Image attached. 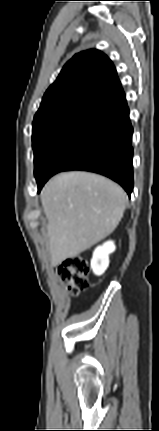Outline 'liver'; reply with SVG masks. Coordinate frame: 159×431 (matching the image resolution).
Returning <instances> with one entry per match:
<instances>
[{
	"mask_svg": "<svg viewBox=\"0 0 159 431\" xmlns=\"http://www.w3.org/2000/svg\"><path fill=\"white\" fill-rule=\"evenodd\" d=\"M127 196L113 181L88 172L61 173L41 192L47 219L50 262L58 266L111 234L121 221Z\"/></svg>",
	"mask_w": 159,
	"mask_h": 431,
	"instance_id": "6515ba94",
	"label": "liver"
}]
</instances>
